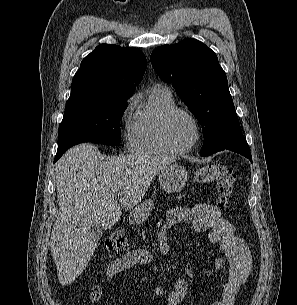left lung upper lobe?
<instances>
[{"label": "left lung upper lobe", "mask_w": 297, "mask_h": 305, "mask_svg": "<svg viewBox=\"0 0 297 305\" xmlns=\"http://www.w3.org/2000/svg\"><path fill=\"white\" fill-rule=\"evenodd\" d=\"M150 60L158 76L172 84L203 126L201 155L249 148L241 133L226 74L210 48L190 38L156 48Z\"/></svg>", "instance_id": "1"}]
</instances>
